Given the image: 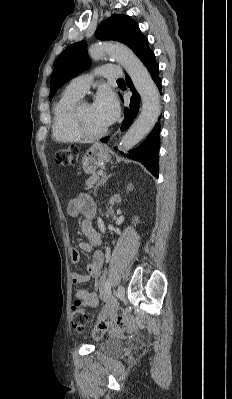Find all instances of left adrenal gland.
I'll return each mask as SVG.
<instances>
[{
	"instance_id": "obj_1",
	"label": "left adrenal gland",
	"mask_w": 232,
	"mask_h": 399,
	"mask_svg": "<svg viewBox=\"0 0 232 399\" xmlns=\"http://www.w3.org/2000/svg\"><path fill=\"white\" fill-rule=\"evenodd\" d=\"M108 178H110V176H107V178H102L100 184H106ZM96 190H97V188H96Z\"/></svg>"
}]
</instances>
